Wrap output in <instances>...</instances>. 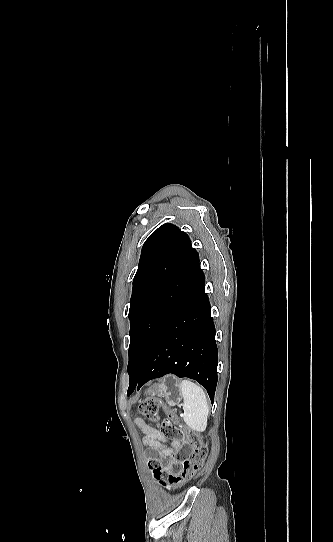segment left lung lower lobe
Masks as SVG:
<instances>
[{"label":"left lung lower lobe","instance_id":"0a47b994","mask_svg":"<svg viewBox=\"0 0 333 542\" xmlns=\"http://www.w3.org/2000/svg\"><path fill=\"white\" fill-rule=\"evenodd\" d=\"M204 274L157 333L143 367L130 378L128 395L151 379L172 373L206 388L211 401L217 385V345Z\"/></svg>","mask_w":333,"mask_h":542}]
</instances>
